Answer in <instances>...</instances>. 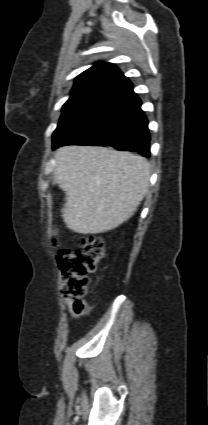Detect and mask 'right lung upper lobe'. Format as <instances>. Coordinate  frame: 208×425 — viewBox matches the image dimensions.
<instances>
[{
	"instance_id": "cb5924a9",
	"label": "right lung upper lobe",
	"mask_w": 208,
	"mask_h": 425,
	"mask_svg": "<svg viewBox=\"0 0 208 425\" xmlns=\"http://www.w3.org/2000/svg\"><path fill=\"white\" fill-rule=\"evenodd\" d=\"M122 75V72L111 63L95 64L76 77L71 95L83 92L100 93Z\"/></svg>"
}]
</instances>
